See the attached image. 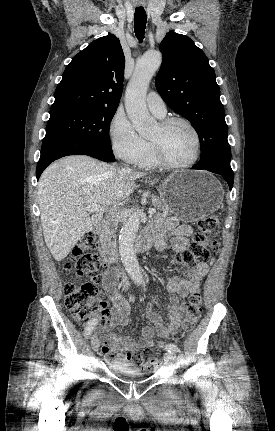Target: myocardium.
<instances>
[{"instance_id": "f54148a6", "label": "myocardium", "mask_w": 275, "mask_h": 431, "mask_svg": "<svg viewBox=\"0 0 275 431\" xmlns=\"http://www.w3.org/2000/svg\"><path fill=\"white\" fill-rule=\"evenodd\" d=\"M176 123H181L184 124L185 126H187L190 131L192 132L194 138H195V154L193 156V158L183 164H176L173 163L171 161H169L162 149L161 146L154 141H150V145H151V150H152V155L155 159V161L158 163L159 166L167 168V169H186V168H190L192 167L194 164H196V162L199 160L200 155H201V151H202V142H201V137L200 134L198 132V130L196 129V127L186 118L183 117H167L161 120V122L159 123V126L161 128L162 131H166L168 130L172 125L176 124Z\"/></svg>"}]
</instances>
